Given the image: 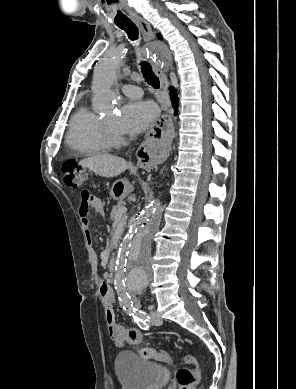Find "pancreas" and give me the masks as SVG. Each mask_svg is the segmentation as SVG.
I'll return each mask as SVG.
<instances>
[{
    "instance_id": "obj_1",
    "label": "pancreas",
    "mask_w": 296,
    "mask_h": 389,
    "mask_svg": "<svg viewBox=\"0 0 296 389\" xmlns=\"http://www.w3.org/2000/svg\"><path fill=\"white\" fill-rule=\"evenodd\" d=\"M124 205H125L124 201H122V200L119 201V202L117 203V205L114 206V207L112 208L110 217H111L112 219H114L115 216H116V212H117L120 208L124 207Z\"/></svg>"
}]
</instances>
